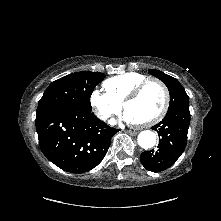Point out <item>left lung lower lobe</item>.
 Listing matches in <instances>:
<instances>
[{"label":"left lung lower lobe","mask_w":221,"mask_h":221,"mask_svg":"<svg viewBox=\"0 0 221 221\" xmlns=\"http://www.w3.org/2000/svg\"><path fill=\"white\" fill-rule=\"evenodd\" d=\"M189 123V107L170 109L164 119L152 127L160 137L159 145L141 154L142 165L152 172L171 167L185 149Z\"/></svg>","instance_id":"obj_1"}]
</instances>
